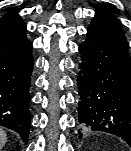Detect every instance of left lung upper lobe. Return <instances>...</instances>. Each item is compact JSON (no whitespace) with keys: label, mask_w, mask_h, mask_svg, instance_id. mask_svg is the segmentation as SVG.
Masks as SVG:
<instances>
[{"label":"left lung upper lobe","mask_w":131,"mask_h":151,"mask_svg":"<svg viewBox=\"0 0 131 151\" xmlns=\"http://www.w3.org/2000/svg\"><path fill=\"white\" fill-rule=\"evenodd\" d=\"M87 33L127 50V40L120 21L105 7L97 8Z\"/></svg>","instance_id":"left-lung-upper-lobe-1"}]
</instances>
